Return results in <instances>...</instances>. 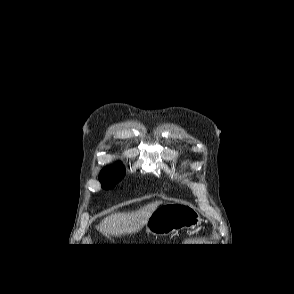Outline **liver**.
I'll return each instance as SVG.
<instances>
[{"label": "liver", "instance_id": "6515ba94", "mask_svg": "<svg viewBox=\"0 0 294 294\" xmlns=\"http://www.w3.org/2000/svg\"><path fill=\"white\" fill-rule=\"evenodd\" d=\"M160 204L162 201H155L136 211L112 213L99 223L98 229L108 236L135 234L146 225L150 215Z\"/></svg>", "mask_w": 294, "mask_h": 294}]
</instances>
